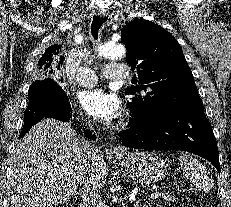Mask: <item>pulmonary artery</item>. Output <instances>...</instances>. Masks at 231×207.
Wrapping results in <instances>:
<instances>
[{"label": "pulmonary artery", "mask_w": 231, "mask_h": 207, "mask_svg": "<svg viewBox=\"0 0 231 207\" xmlns=\"http://www.w3.org/2000/svg\"><path fill=\"white\" fill-rule=\"evenodd\" d=\"M105 76L110 80L129 78V69L121 64H111L104 68ZM97 82V75L87 67H81L76 75V83L80 86H92Z\"/></svg>", "instance_id": "1"}]
</instances>
